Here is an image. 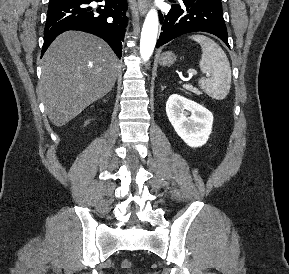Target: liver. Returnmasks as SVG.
Returning a JSON list of instances; mask_svg holds the SVG:
<instances>
[{
    "instance_id": "6515ba94",
    "label": "liver",
    "mask_w": 289,
    "mask_h": 274,
    "mask_svg": "<svg viewBox=\"0 0 289 274\" xmlns=\"http://www.w3.org/2000/svg\"><path fill=\"white\" fill-rule=\"evenodd\" d=\"M118 58L102 39L83 32L59 35L42 60L37 93L57 127L67 124L114 86Z\"/></svg>"
}]
</instances>
